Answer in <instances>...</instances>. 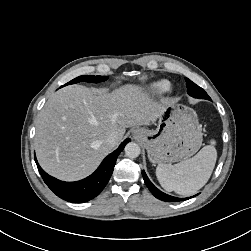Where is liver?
Returning a JSON list of instances; mask_svg holds the SVG:
<instances>
[{
    "label": "liver",
    "mask_w": 251,
    "mask_h": 251,
    "mask_svg": "<svg viewBox=\"0 0 251 251\" xmlns=\"http://www.w3.org/2000/svg\"><path fill=\"white\" fill-rule=\"evenodd\" d=\"M167 103L154 100L139 85H125L111 93L66 86L50 97L39 114L38 161L58 179H83L123 140L126 128L155 123ZM111 133L117 134L115 145L106 141Z\"/></svg>",
    "instance_id": "obj_1"
}]
</instances>
